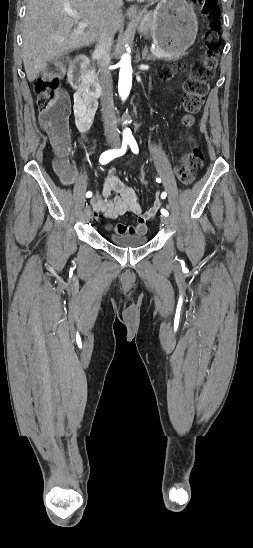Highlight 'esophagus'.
I'll return each mask as SVG.
<instances>
[{"instance_id": "esophagus-1", "label": "esophagus", "mask_w": 253, "mask_h": 548, "mask_svg": "<svg viewBox=\"0 0 253 548\" xmlns=\"http://www.w3.org/2000/svg\"><path fill=\"white\" fill-rule=\"evenodd\" d=\"M127 14L129 17L136 18L139 16V9L136 5H131L127 9Z\"/></svg>"}]
</instances>
